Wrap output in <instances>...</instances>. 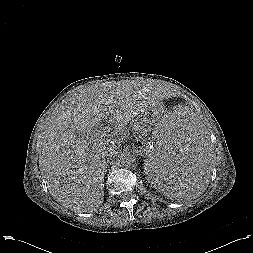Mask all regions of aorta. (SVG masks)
I'll return each mask as SVG.
<instances>
[{
    "label": "aorta",
    "mask_w": 253,
    "mask_h": 253,
    "mask_svg": "<svg viewBox=\"0 0 253 253\" xmlns=\"http://www.w3.org/2000/svg\"><path fill=\"white\" fill-rule=\"evenodd\" d=\"M118 159L122 166H129L135 161L134 155L129 151L121 152L118 156Z\"/></svg>",
    "instance_id": "aorta-1"
}]
</instances>
